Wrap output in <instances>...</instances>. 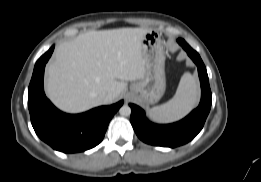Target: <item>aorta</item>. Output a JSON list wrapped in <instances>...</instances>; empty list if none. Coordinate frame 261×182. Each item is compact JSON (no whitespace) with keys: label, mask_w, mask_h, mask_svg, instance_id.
Here are the masks:
<instances>
[{"label":"aorta","mask_w":261,"mask_h":182,"mask_svg":"<svg viewBox=\"0 0 261 182\" xmlns=\"http://www.w3.org/2000/svg\"><path fill=\"white\" fill-rule=\"evenodd\" d=\"M119 113L122 116H130L131 114V108L128 105H123L120 109H119Z\"/></svg>","instance_id":"aorta-1"}]
</instances>
